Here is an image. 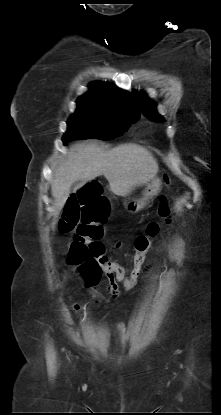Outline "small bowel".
<instances>
[{"mask_svg":"<svg viewBox=\"0 0 221 415\" xmlns=\"http://www.w3.org/2000/svg\"><path fill=\"white\" fill-rule=\"evenodd\" d=\"M116 247H121V244L120 243H118L117 245H116ZM129 273H127V275H128ZM108 283H109V285H108V292L110 293V295H112L113 297H116L118 294H119V292H120V288H119V284L118 283H110L109 281H108ZM122 285V284H121ZM89 292L93 295V296H97V292L94 290V289H89ZM74 308L76 309V310H79L80 309V307L78 306V305H74Z\"/></svg>","mask_w":221,"mask_h":415,"instance_id":"obj_1","label":"small bowel"}]
</instances>
